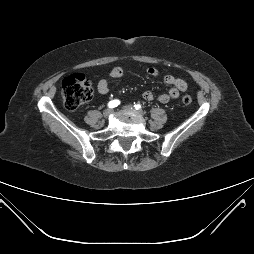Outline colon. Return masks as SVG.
Here are the masks:
<instances>
[{
  "label": "colon",
  "mask_w": 254,
  "mask_h": 254,
  "mask_svg": "<svg viewBox=\"0 0 254 254\" xmlns=\"http://www.w3.org/2000/svg\"><path fill=\"white\" fill-rule=\"evenodd\" d=\"M61 93L65 107L69 110H75L92 98V83L85 75L75 73L64 79ZM182 102L191 104L192 97L184 95Z\"/></svg>",
  "instance_id": "obj_1"
}]
</instances>
